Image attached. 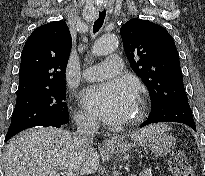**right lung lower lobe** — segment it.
I'll use <instances>...</instances> for the list:
<instances>
[{
  "mask_svg": "<svg viewBox=\"0 0 205 176\" xmlns=\"http://www.w3.org/2000/svg\"><path fill=\"white\" fill-rule=\"evenodd\" d=\"M68 122H69V120L66 121V122H64V123L50 122V123L42 124V125H40V126H44V127H46V126H53V127H58V128H59V127H61V126L66 125Z\"/></svg>",
  "mask_w": 205,
  "mask_h": 176,
  "instance_id": "obj_1",
  "label": "right lung lower lobe"
}]
</instances>
